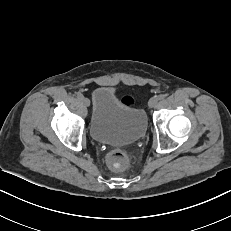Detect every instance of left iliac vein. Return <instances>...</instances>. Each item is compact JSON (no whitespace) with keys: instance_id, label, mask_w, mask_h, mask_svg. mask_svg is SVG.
Wrapping results in <instances>:
<instances>
[{"instance_id":"4c4485c4","label":"left iliac vein","mask_w":231,"mask_h":231,"mask_svg":"<svg viewBox=\"0 0 231 231\" xmlns=\"http://www.w3.org/2000/svg\"><path fill=\"white\" fill-rule=\"evenodd\" d=\"M159 99L157 96H153L152 98H150L149 100V107H154L157 103H158Z\"/></svg>"}]
</instances>
